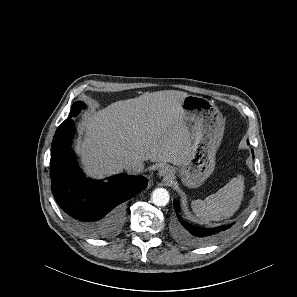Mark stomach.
I'll list each match as a JSON object with an SVG mask.
<instances>
[{
	"label": "stomach",
	"mask_w": 297,
	"mask_h": 297,
	"mask_svg": "<svg viewBox=\"0 0 297 297\" xmlns=\"http://www.w3.org/2000/svg\"><path fill=\"white\" fill-rule=\"evenodd\" d=\"M181 112L184 120L192 122L196 130L191 151L176 170L186 186L197 188L214 171L224 119L213 102L196 95H188L182 100Z\"/></svg>",
	"instance_id": "stomach-1"
}]
</instances>
